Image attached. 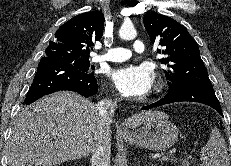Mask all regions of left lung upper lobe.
<instances>
[{
    "instance_id": "obj_1",
    "label": "left lung upper lobe",
    "mask_w": 231,
    "mask_h": 166,
    "mask_svg": "<svg viewBox=\"0 0 231 166\" xmlns=\"http://www.w3.org/2000/svg\"><path fill=\"white\" fill-rule=\"evenodd\" d=\"M143 22L151 42L163 46L159 61L169 68L164 70L169 90L184 83L211 84L196 41L180 23L156 13H147Z\"/></svg>"
}]
</instances>
